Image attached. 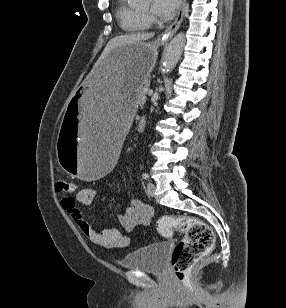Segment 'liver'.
<instances>
[{
  "label": "liver",
  "mask_w": 286,
  "mask_h": 308,
  "mask_svg": "<svg viewBox=\"0 0 286 308\" xmlns=\"http://www.w3.org/2000/svg\"><path fill=\"white\" fill-rule=\"evenodd\" d=\"M154 37V33H132L126 35H120L112 38L106 45L105 49L103 50L100 58L96 62L95 67L99 65V63L114 49L118 47H122L125 45L138 43L142 41L149 40Z\"/></svg>",
  "instance_id": "liver-1"
}]
</instances>
